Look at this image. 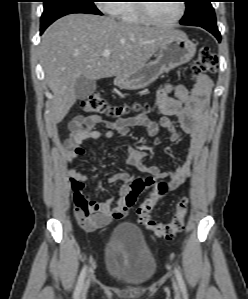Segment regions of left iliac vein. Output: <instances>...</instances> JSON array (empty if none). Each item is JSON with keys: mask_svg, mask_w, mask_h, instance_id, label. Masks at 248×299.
Wrapping results in <instances>:
<instances>
[{"mask_svg": "<svg viewBox=\"0 0 248 299\" xmlns=\"http://www.w3.org/2000/svg\"><path fill=\"white\" fill-rule=\"evenodd\" d=\"M173 287H174V290L178 293L179 289H178V285L175 281H173Z\"/></svg>", "mask_w": 248, "mask_h": 299, "instance_id": "left-iliac-vein-1", "label": "left iliac vein"}]
</instances>
